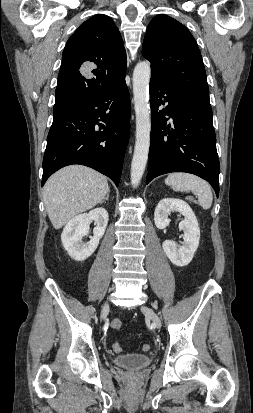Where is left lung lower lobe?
I'll list each match as a JSON object with an SVG mask.
<instances>
[{"label":"left lung lower lobe","mask_w":253,"mask_h":413,"mask_svg":"<svg viewBox=\"0 0 253 413\" xmlns=\"http://www.w3.org/2000/svg\"><path fill=\"white\" fill-rule=\"evenodd\" d=\"M151 144L147 183L170 172H187L207 180L219 195L220 164L209 109L178 94L151 75ZM162 105L165 108L160 109ZM173 119L171 124L167 121Z\"/></svg>","instance_id":"left-lung-lower-lobe-1"}]
</instances>
